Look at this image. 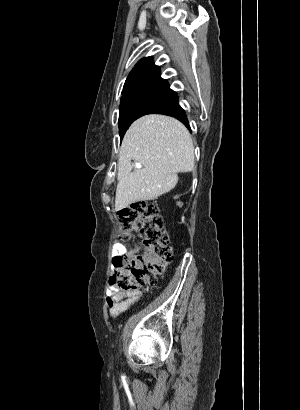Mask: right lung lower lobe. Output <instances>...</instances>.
<instances>
[{
	"mask_svg": "<svg viewBox=\"0 0 300 410\" xmlns=\"http://www.w3.org/2000/svg\"><path fill=\"white\" fill-rule=\"evenodd\" d=\"M156 113L175 117L178 120H180L183 124H185V126L189 127L185 111L179 106L178 100L174 102L173 104L169 105L168 107H165Z\"/></svg>",
	"mask_w": 300,
	"mask_h": 410,
	"instance_id": "right-lung-lower-lobe-1",
	"label": "right lung lower lobe"
}]
</instances>
